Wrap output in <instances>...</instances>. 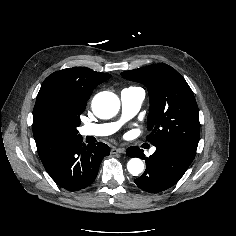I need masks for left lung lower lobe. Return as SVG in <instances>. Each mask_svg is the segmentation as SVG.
Here are the masks:
<instances>
[{
    "label": "left lung lower lobe",
    "mask_w": 236,
    "mask_h": 236,
    "mask_svg": "<svg viewBox=\"0 0 236 236\" xmlns=\"http://www.w3.org/2000/svg\"><path fill=\"white\" fill-rule=\"evenodd\" d=\"M156 151L146 160V170L134 180L136 185L149 193H159L175 185L184 175L196 151L173 144H157ZM130 157L143 158V151L138 147L127 149Z\"/></svg>",
    "instance_id": "1"
}]
</instances>
